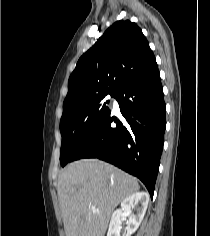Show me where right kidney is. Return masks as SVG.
<instances>
[{"label":"right kidney","mask_w":210,"mask_h":236,"mask_svg":"<svg viewBox=\"0 0 210 236\" xmlns=\"http://www.w3.org/2000/svg\"><path fill=\"white\" fill-rule=\"evenodd\" d=\"M149 202V195L145 192H136L121 202L120 209L116 210L108 228L107 236H120L121 220L128 217L127 232L124 236H131L138 229L144 218ZM134 206H138L136 213H132Z\"/></svg>","instance_id":"1"}]
</instances>
